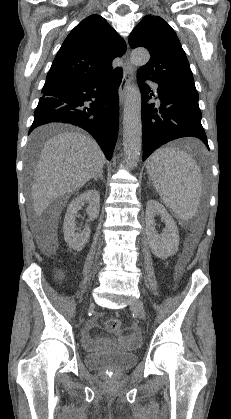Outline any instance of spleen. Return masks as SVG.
Returning <instances> with one entry per match:
<instances>
[{
  "instance_id": "spleen-1",
  "label": "spleen",
  "mask_w": 231,
  "mask_h": 419,
  "mask_svg": "<svg viewBox=\"0 0 231 419\" xmlns=\"http://www.w3.org/2000/svg\"><path fill=\"white\" fill-rule=\"evenodd\" d=\"M147 172L164 204L180 219L195 216L202 193L201 170L186 152L169 146L156 150Z\"/></svg>"
}]
</instances>
